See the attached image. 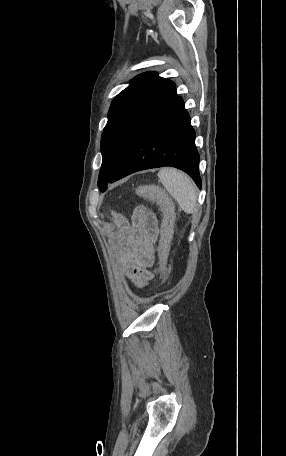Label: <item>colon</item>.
<instances>
[{
  "instance_id": "5ec220e1",
  "label": "colon",
  "mask_w": 286,
  "mask_h": 456,
  "mask_svg": "<svg viewBox=\"0 0 286 456\" xmlns=\"http://www.w3.org/2000/svg\"><path fill=\"white\" fill-rule=\"evenodd\" d=\"M136 193L157 202L164 213L162 233L158 250L159 265L155 272L161 280H165L168 275L169 242L172 235V202L166 192L159 186L142 185L137 188Z\"/></svg>"
}]
</instances>
